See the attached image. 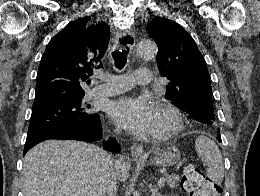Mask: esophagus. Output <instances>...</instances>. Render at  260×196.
<instances>
[{
  "label": "esophagus",
  "mask_w": 260,
  "mask_h": 196,
  "mask_svg": "<svg viewBox=\"0 0 260 196\" xmlns=\"http://www.w3.org/2000/svg\"><path fill=\"white\" fill-rule=\"evenodd\" d=\"M123 37H126L127 46L133 48L135 45V38L132 32H123ZM130 152L133 158L145 159L146 155L144 152V147L140 144H133L130 148Z\"/></svg>",
  "instance_id": "obj_1"
}]
</instances>
